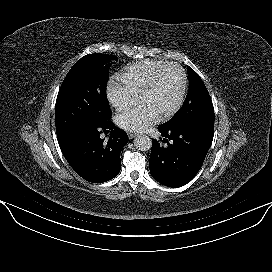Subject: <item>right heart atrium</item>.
Wrapping results in <instances>:
<instances>
[{
  "mask_svg": "<svg viewBox=\"0 0 272 272\" xmlns=\"http://www.w3.org/2000/svg\"><path fill=\"white\" fill-rule=\"evenodd\" d=\"M107 98L110 104L118 111L133 105L138 95L130 90L118 79H111L107 85Z\"/></svg>",
  "mask_w": 272,
  "mask_h": 272,
  "instance_id": "1",
  "label": "right heart atrium"
}]
</instances>
